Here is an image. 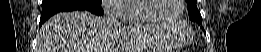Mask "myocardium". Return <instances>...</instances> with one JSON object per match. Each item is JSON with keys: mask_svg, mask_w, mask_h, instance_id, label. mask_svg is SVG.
I'll return each instance as SVG.
<instances>
[{"mask_svg": "<svg viewBox=\"0 0 261 52\" xmlns=\"http://www.w3.org/2000/svg\"><path fill=\"white\" fill-rule=\"evenodd\" d=\"M154 1H156V0H143L141 2L142 14L147 17V19L150 21V23L175 24L182 18L183 14L185 12V5H184L185 1L178 0L180 10H179V14L176 16V18H174L172 20H166V19H162V18L153 17L148 13V9L151 8L152 2H154Z\"/></svg>", "mask_w": 261, "mask_h": 52, "instance_id": "f54148a6", "label": "myocardium"}]
</instances>
